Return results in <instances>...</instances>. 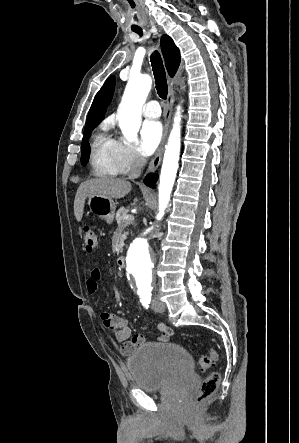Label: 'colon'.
Wrapping results in <instances>:
<instances>
[{"mask_svg": "<svg viewBox=\"0 0 299 443\" xmlns=\"http://www.w3.org/2000/svg\"><path fill=\"white\" fill-rule=\"evenodd\" d=\"M81 239L88 252L93 251L98 245L97 234L91 226L86 225L82 228ZM217 360L218 352L215 349H210L208 354H203L199 357L198 366L201 370L205 371ZM220 379L221 376L218 372H212L204 379L195 398L198 405L204 404L215 395Z\"/></svg>", "mask_w": 299, "mask_h": 443, "instance_id": "obj_1", "label": "colon"}]
</instances>
